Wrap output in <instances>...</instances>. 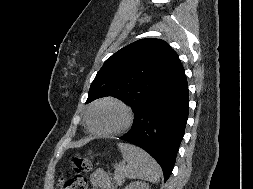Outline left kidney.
I'll list each match as a JSON object with an SVG mask.
<instances>
[{"label": "left kidney", "instance_id": "5707ae66", "mask_svg": "<svg viewBox=\"0 0 253 189\" xmlns=\"http://www.w3.org/2000/svg\"><path fill=\"white\" fill-rule=\"evenodd\" d=\"M124 189H149V185L145 182H132L127 185Z\"/></svg>", "mask_w": 253, "mask_h": 189}]
</instances>
